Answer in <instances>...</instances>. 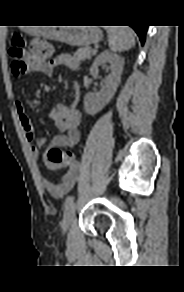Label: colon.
<instances>
[{
	"label": "colon",
	"mask_w": 184,
	"mask_h": 292,
	"mask_svg": "<svg viewBox=\"0 0 184 292\" xmlns=\"http://www.w3.org/2000/svg\"><path fill=\"white\" fill-rule=\"evenodd\" d=\"M12 57V72L15 76L26 74L32 65L46 61L52 55V46L45 40L32 42L29 52L24 48V39L15 34L9 50ZM48 159L57 165H70L77 163L72 152L59 147H51L46 153Z\"/></svg>",
	"instance_id": "obj_1"
}]
</instances>
